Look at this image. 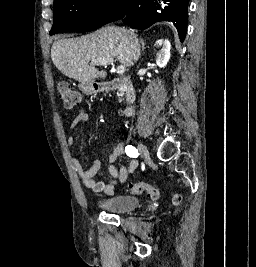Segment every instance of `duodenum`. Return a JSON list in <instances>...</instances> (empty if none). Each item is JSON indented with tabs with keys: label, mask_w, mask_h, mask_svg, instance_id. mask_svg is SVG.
Instances as JSON below:
<instances>
[{
	"label": "duodenum",
	"mask_w": 256,
	"mask_h": 267,
	"mask_svg": "<svg viewBox=\"0 0 256 267\" xmlns=\"http://www.w3.org/2000/svg\"><path fill=\"white\" fill-rule=\"evenodd\" d=\"M77 88H81V94H99V90L114 91L120 90L124 93L126 106L123 114L130 117L133 114V105L137 100V93L134 84L128 77H115L109 81H83L77 83Z\"/></svg>",
	"instance_id": "410a0bca"
}]
</instances>
